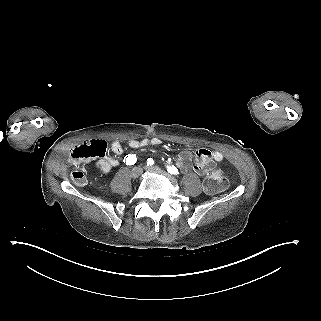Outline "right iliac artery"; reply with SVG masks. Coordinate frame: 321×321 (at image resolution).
I'll list each match as a JSON object with an SVG mask.
<instances>
[{
	"label": "right iliac artery",
	"instance_id": "obj_1",
	"mask_svg": "<svg viewBox=\"0 0 321 321\" xmlns=\"http://www.w3.org/2000/svg\"><path fill=\"white\" fill-rule=\"evenodd\" d=\"M137 161V157L134 154H129L124 158V163L126 165H134Z\"/></svg>",
	"mask_w": 321,
	"mask_h": 321
}]
</instances>
